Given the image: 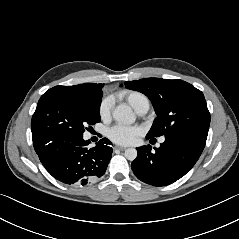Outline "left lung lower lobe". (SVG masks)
Here are the masks:
<instances>
[{
  "instance_id": "0a47b994",
  "label": "left lung lower lobe",
  "mask_w": 239,
  "mask_h": 239,
  "mask_svg": "<svg viewBox=\"0 0 239 239\" xmlns=\"http://www.w3.org/2000/svg\"><path fill=\"white\" fill-rule=\"evenodd\" d=\"M149 139L148 137H146ZM205 141L181 135L165 136L159 148L138 147L131 168L135 176L150 185H169L184 176L197 162Z\"/></svg>"
}]
</instances>
